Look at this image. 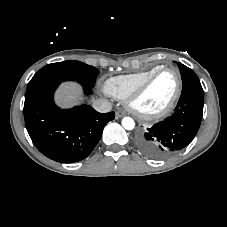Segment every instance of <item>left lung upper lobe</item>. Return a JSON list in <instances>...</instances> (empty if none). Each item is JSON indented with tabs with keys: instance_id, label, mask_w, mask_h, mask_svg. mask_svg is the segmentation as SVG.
Returning a JSON list of instances; mask_svg holds the SVG:
<instances>
[{
	"instance_id": "left-lung-upper-lobe-1",
	"label": "left lung upper lobe",
	"mask_w": 227,
	"mask_h": 227,
	"mask_svg": "<svg viewBox=\"0 0 227 227\" xmlns=\"http://www.w3.org/2000/svg\"><path fill=\"white\" fill-rule=\"evenodd\" d=\"M180 69L181 77H182V91L186 90H196L203 92L202 86L197 75L188 68L187 66L183 65L182 63H177Z\"/></svg>"
}]
</instances>
